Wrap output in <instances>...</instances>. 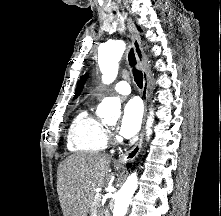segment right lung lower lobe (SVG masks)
<instances>
[{
    "label": "right lung lower lobe",
    "mask_w": 221,
    "mask_h": 216,
    "mask_svg": "<svg viewBox=\"0 0 221 216\" xmlns=\"http://www.w3.org/2000/svg\"><path fill=\"white\" fill-rule=\"evenodd\" d=\"M131 165L130 164H127V167H130Z\"/></svg>",
    "instance_id": "obj_1"
}]
</instances>
